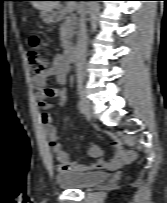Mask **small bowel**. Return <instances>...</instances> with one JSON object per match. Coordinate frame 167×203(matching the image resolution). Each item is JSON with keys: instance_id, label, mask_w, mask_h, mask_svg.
<instances>
[{"instance_id": "obj_1", "label": "small bowel", "mask_w": 167, "mask_h": 203, "mask_svg": "<svg viewBox=\"0 0 167 203\" xmlns=\"http://www.w3.org/2000/svg\"><path fill=\"white\" fill-rule=\"evenodd\" d=\"M69 73L70 67L66 63L64 56L62 54H56L48 70L42 74L33 76L31 79L32 87L37 95L38 107L43 113L45 130L49 138V147L56 163V168L60 171L69 170L77 172H85L94 169L116 170L124 163H127V161L124 157L125 150L123 148V142L111 132L107 133L112 140L110 146L111 157L109 160L102 158L103 150L99 146L90 144L88 155L91 158H95L96 161L92 163L71 162L69 155L62 149L61 144L58 142L59 136L57 129L47 112L53 107V104L48 103L47 99L57 98L60 101V105L64 106L67 101L66 90L64 88L48 87L46 84L49 78L53 76L58 84L65 85Z\"/></svg>"}]
</instances>
